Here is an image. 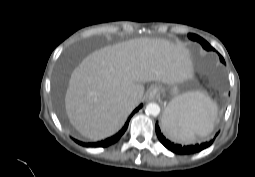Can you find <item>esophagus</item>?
Segmentation results:
<instances>
[{"label": "esophagus", "mask_w": 255, "mask_h": 177, "mask_svg": "<svg viewBox=\"0 0 255 177\" xmlns=\"http://www.w3.org/2000/svg\"><path fill=\"white\" fill-rule=\"evenodd\" d=\"M158 94H159L158 88L153 87V88L150 90V92H149V98H150V99H153V98L157 97Z\"/></svg>", "instance_id": "esophagus-1"}]
</instances>
